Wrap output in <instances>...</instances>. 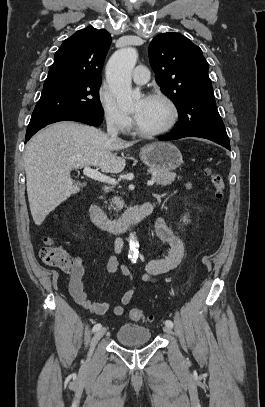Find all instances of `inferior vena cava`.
Masks as SVG:
<instances>
[{
	"label": "inferior vena cava",
	"instance_id": "1",
	"mask_svg": "<svg viewBox=\"0 0 265 407\" xmlns=\"http://www.w3.org/2000/svg\"><path fill=\"white\" fill-rule=\"evenodd\" d=\"M107 134L111 139H116L118 136V129L115 124V121L112 118L107 120Z\"/></svg>",
	"mask_w": 265,
	"mask_h": 407
}]
</instances>
